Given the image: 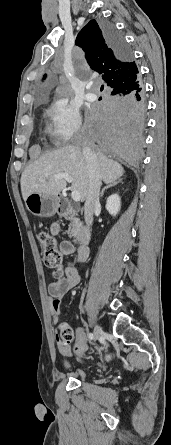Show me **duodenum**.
I'll return each mask as SVG.
<instances>
[{
    "mask_svg": "<svg viewBox=\"0 0 171 445\" xmlns=\"http://www.w3.org/2000/svg\"><path fill=\"white\" fill-rule=\"evenodd\" d=\"M57 212L60 216H71L78 215L79 211L74 210L68 200L62 196L58 198L57 201ZM91 238V228L89 225L85 224L79 228L77 234V240L80 243L81 247H85Z\"/></svg>",
    "mask_w": 171,
    "mask_h": 445,
    "instance_id": "obj_1",
    "label": "duodenum"
}]
</instances>
